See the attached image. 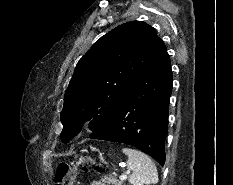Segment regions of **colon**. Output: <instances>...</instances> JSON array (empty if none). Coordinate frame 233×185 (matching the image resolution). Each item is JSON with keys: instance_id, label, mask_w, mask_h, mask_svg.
Instances as JSON below:
<instances>
[{"instance_id": "obj_1", "label": "colon", "mask_w": 233, "mask_h": 185, "mask_svg": "<svg viewBox=\"0 0 233 185\" xmlns=\"http://www.w3.org/2000/svg\"><path fill=\"white\" fill-rule=\"evenodd\" d=\"M94 166L97 171L102 170V165L93 161H87ZM78 166L73 163L62 162L58 165L55 173V185H74L78 174Z\"/></svg>"}]
</instances>
